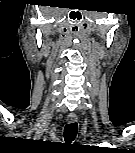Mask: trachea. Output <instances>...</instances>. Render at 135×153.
Listing matches in <instances>:
<instances>
[{
    "label": "trachea",
    "instance_id": "trachea-1",
    "mask_svg": "<svg viewBox=\"0 0 135 153\" xmlns=\"http://www.w3.org/2000/svg\"><path fill=\"white\" fill-rule=\"evenodd\" d=\"M77 134V123L66 124L64 128V139L66 142H72L76 138Z\"/></svg>",
    "mask_w": 135,
    "mask_h": 153
}]
</instances>
